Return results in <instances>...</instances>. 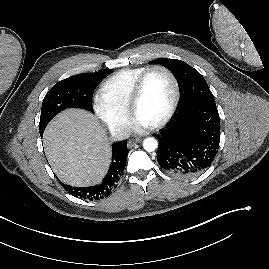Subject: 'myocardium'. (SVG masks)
Listing matches in <instances>:
<instances>
[{"mask_svg": "<svg viewBox=\"0 0 269 269\" xmlns=\"http://www.w3.org/2000/svg\"><path fill=\"white\" fill-rule=\"evenodd\" d=\"M156 70L163 71L170 77V79L173 83V87H174V97H173L172 103H171L167 113L164 115V117L161 120H159L158 122H156L155 124L148 126L150 129H153V130L162 128L170 121V119L173 117V115H174V113L179 105L180 98H181L180 83H179V80H178L176 74L170 68H168L164 65L150 66L140 75V77L137 79L135 86L133 88V91H132V94L130 97V101H129V105H128V111L131 114V116L133 118H136L137 106H138L139 101L141 99L146 80L149 77V75Z\"/></svg>", "mask_w": 269, "mask_h": 269, "instance_id": "1", "label": "myocardium"}]
</instances>
